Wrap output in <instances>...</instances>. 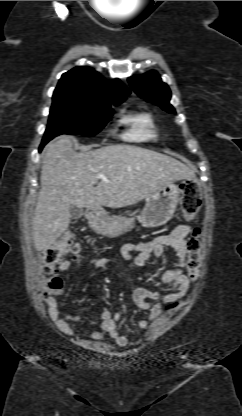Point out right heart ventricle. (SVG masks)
<instances>
[{
	"label": "right heart ventricle",
	"mask_w": 242,
	"mask_h": 416,
	"mask_svg": "<svg viewBox=\"0 0 242 416\" xmlns=\"http://www.w3.org/2000/svg\"><path fill=\"white\" fill-rule=\"evenodd\" d=\"M123 121L130 127L127 133V138L130 140L145 141L156 136L155 121L148 112L126 115Z\"/></svg>",
	"instance_id": "1"
}]
</instances>
